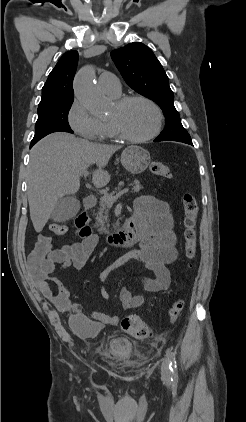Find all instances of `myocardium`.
<instances>
[{"mask_svg":"<svg viewBox=\"0 0 246 422\" xmlns=\"http://www.w3.org/2000/svg\"><path fill=\"white\" fill-rule=\"evenodd\" d=\"M134 101L145 102L154 109L157 116V123L154 130L151 133L143 137H136L126 132L116 120L110 119L109 123L111 124V126L113 127V129L115 130V132L121 139L126 140L128 142H132V143H145L155 138L161 132L163 123H164V115L161 108L155 101L143 95H128V96L120 97L115 101V105L118 108H123L129 103L134 102Z\"/></svg>","mask_w":246,"mask_h":422,"instance_id":"1","label":"myocardium"}]
</instances>
